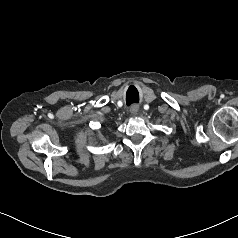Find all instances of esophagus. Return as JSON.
Returning <instances> with one entry per match:
<instances>
[{
  "instance_id": "34e87169",
  "label": "esophagus",
  "mask_w": 238,
  "mask_h": 238,
  "mask_svg": "<svg viewBox=\"0 0 238 238\" xmlns=\"http://www.w3.org/2000/svg\"><path fill=\"white\" fill-rule=\"evenodd\" d=\"M131 113H132L133 115H137L138 109H137V108H133V109L131 110Z\"/></svg>"
}]
</instances>
